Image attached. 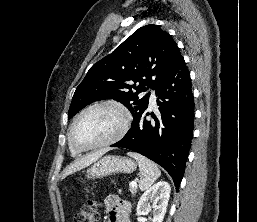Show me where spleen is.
<instances>
[{
  "mask_svg": "<svg viewBox=\"0 0 257 222\" xmlns=\"http://www.w3.org/2000/svg\"><path fill=\"white\" fill-rule=\"evenodd\" d=\"M128 155L138 162L141 173L139 188L142 191L148 189L156 181V179L160 177L161 171L154 162L143 155L135 152H129Z\"/></svg>",
  "mask_w": 257,
  "mask_h": 222,
  "instance_id": "3e777b00",
  "label": "spleen"
}]
</instances>
